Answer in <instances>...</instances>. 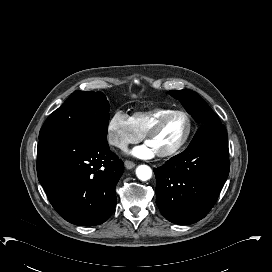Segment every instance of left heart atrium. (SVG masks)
Segmentation results:
<instances>
[{
	"label": "left heart atrium",
	"mask_w": 272,
	"mask_h": 272,
	"mask_svg": "<svg viewBox=\"0 0 272 272\" xmlns=\"http://www.w3.org/2000/svg\"><path fill=\"white\" fill-rule=\"evenodd\" d=\"M129 153L135 157L142 159L152 158L156 154L155 150L151 147V145L148 142L143 145L137 146Z\"/></svg>",
	"instance_id": "left-heart-atrium-1"
}]
</instances>
